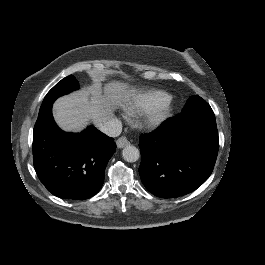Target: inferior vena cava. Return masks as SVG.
Returning a JSON list of instances; mask_svg holds the SVG:
<instances>
[{
	"mask_svg": "<svg viewBox=\"0 0 265 265\" xmlns=\"http://www.w3.org/2000/svg\"><path fill=\"white\" fill-rule=\"evenodd\" d=\"M99 129L110 137H117L122 132V123L118 119H111L101 124Z\"/></svg>",
	"mask_w": 265,
	"mask_h": 265,
	"instance_id": "obj_1",
	"label": "inferior vena cava"
}]
</instances>
